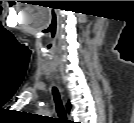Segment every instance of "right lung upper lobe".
Segmentation results:
<instances>
[{
    "label": "right lung upper lobe",
    "mask_w": 134,
    "mask_h": 123,
    "mask_svg": "<svg viewBox=\"0 0 134 123\" xmlns=\"http://www.w3.org/2000/svg\"><path fill=\"white\" fill-rule=\"evenodd\" d=\"M70 108H71V105H70V103L68 102V104H67V111H68V112L70 111Z\"/></svg>",
    "instance_id": "right-lung-upper-lobe-1"
}]
</instances>
